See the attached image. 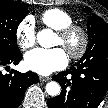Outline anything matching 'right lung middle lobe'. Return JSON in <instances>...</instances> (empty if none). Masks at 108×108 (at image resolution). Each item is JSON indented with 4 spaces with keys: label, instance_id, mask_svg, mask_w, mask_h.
<instances>
[{
    "label": "right lung middle lobe",
    "instance_id": "obj_1",
    "mask_svg": "<svg viewBox=\"0 0 108 108\" xmlns=\"http://www.w3.org/2000/svg\"><path fill=\"white\" fill-rule=\"evenodd\" d=\"M28 6L12 0L0 1V51L7 54L19 52L16 31L25 18Z\"/></svg>",
    "mask_w": 108,
    "mask_h": 108
}]
</instances>
